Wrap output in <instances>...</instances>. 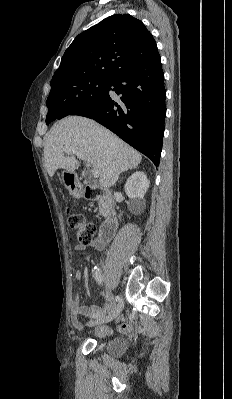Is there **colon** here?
I'll use <instances>...</instances> for the list:
<instances>
[{
    "label": "colon",
    "mask_w": 232,
    "mask_h": 399,
    "mask_svg": "<svg viewBox=\"0 0 232 399\" xmlns=\"http://www.w3.org/2000/svg\"><path fill=\"white\" fill-rule=\"evenodd\" d=\"M86 219V215L76 216L73 214V208H68V228L77 234L79 244L89 245L92 244L91 238L94 236V222H85Z\"/></svg>",
    "instance_id": "obj_1"
}]
</instances>
